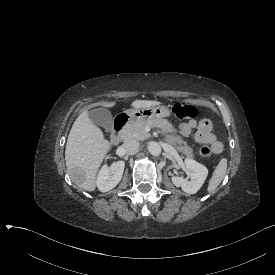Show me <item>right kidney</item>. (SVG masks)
<instances>
[{
    "instance_id": "ca27d5eb",
    "label": "right kidney",
    "mask_w": 275,
    "mask_h": 275,
    "mask_svg": "<svg viewBox=\"0 0 275 275\" xmlns=\"http://www.w3.org/2000/svg\"><path fill=\"white\" fill-rule=\"evenodd\" d=\"M124 161L113 162L110 167L104 165L97 176V187L101 192L112 190L122 179Z\"/></svg>"
}]
</instances>
